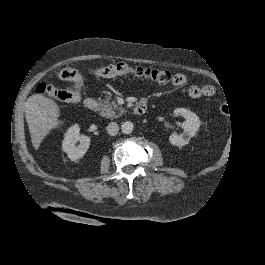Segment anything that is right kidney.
Returning a JSON list of instances; mask_svg holds the SVG:
<instances>
[{
  "mask_svg": "<svg viewBox=\"0 0 265 265\" xmlns=\"http://www.w3.org/2000/svg\"><path fill=\"white\" fill-rule=\"evenodd\" d=\"M80 128L73 127L66 133L63 143L64 151L69 155L72 160L82 158L90 145V138L85 135L79 134Z\"/></svg>",
  "mask_w": 265,
  "mask_h": 265,
  "instance_id": "obj_1",
  "label": "right kidney"
}]
</instances>
